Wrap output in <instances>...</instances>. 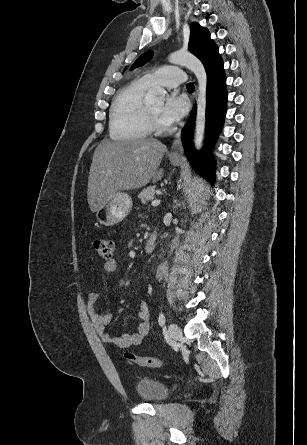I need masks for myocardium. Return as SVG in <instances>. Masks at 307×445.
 I'll list each match as a JSON object with an SVG mask.
<instances>
[{
  "label": "myocardium",
  "mask_w": 307,
  "mask_h": 445,
  "mask_svg": "<svg viewBox=\"0 0 307 445\" xmlns=\"http://www.w3.org/2000/svg\"><path fill=\"white\" fill-rule=\"evenodd\" d=\"M145 111L150 123L151 128L156 132H166L170 130V127L165 124L161 119L153 114L149 105L145 104ZM153 139H158L157 137Z\"/></svg>",
  "instance_id": "1"
}]
</instances>
